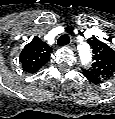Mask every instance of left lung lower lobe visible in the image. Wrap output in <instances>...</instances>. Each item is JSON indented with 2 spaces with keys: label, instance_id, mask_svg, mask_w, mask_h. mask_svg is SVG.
I'll return each instance as SVG.
<instances>
[{
  "label": "left lung lower lobe",
  "instance_id": "obj_1",
  "mask_svg": "<svg viewBox=\"0 0 115 119\" xmlns=\"http://www.w3.org/2000/svg\"><path fill=\"white\" fill-rule=\"evenodd\" d=\"M84 76L92 83L94 84H100L102 83V80L101 78L97 77V76H94V75H91V74H87V73H84Z\"/></svg>",
  "mask_w": 115,
  "mask_h": 119
}]
</instances>
